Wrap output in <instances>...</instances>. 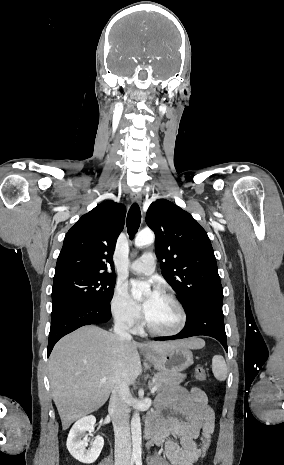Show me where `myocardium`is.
Listing matches in <instances>:
<instances>
[{
	"instance_id": "1",
	"label": "myocardium",
	"mask_w": 284,
	"mask_h": 465,
	"mask_svg": "<svg viewBox=\"0 0 284 465\" xmlns=\"http://www.w3.org/2000/svg\"><path fill=\"white\" fill-rule=\"evenodd\" d=\"M158 294L165 297L167 300H169L173 304V306L176 308V310L178 311V314H179V323H178V325H177V327L175 329H173L171 331H168V332H161V331H157V330L153 329L147 323V319H146L145 315H142V327L145 329V331L148 334H150L151 336H154V337H158V338H173V337H176L183 331V329L186 326V323H187L186 311H185L184 307L182 306V304L179 302V300L174 295H172L171 293H169V292H167L165 290H162Z\"/></svg>"
}]
</instances>
